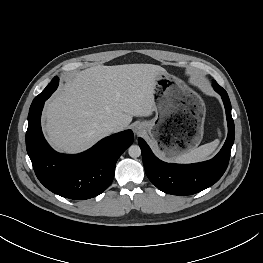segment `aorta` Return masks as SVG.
<instances>
[{
	"instance_id": "obj_1",
	"label": "aorta",
	"mask_w": 263,
	"mask_h": 263,
	"mask_svg": "<svg viewBox=\"0 0 263 263\" xmlns=\"http://www.w3.org/2000/svg\"><path fill=\"white\" fill-rule=\"evenodd\" d=\"M129 156L137 158L141 155V149L138 145H131L128 149Z\"/></svg>"
}]
</instances>
